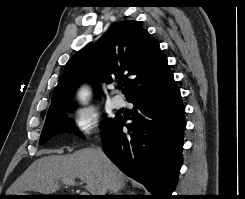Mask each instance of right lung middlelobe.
I'll return each mask as SVG.
<instances>
[{
    "label": "right lung middle lobe",
    "instance_id": "right-lung-middle-lobe-1",
    "mask_svg": "<svg viewBox=\"0 0 245 199\" xmlns=\"http://www.w3.org/2000/svg\"><path fill=\"white\" fill-rule=\"evenodd\" d=\"M67 107L68 106H65L58 112L46 117L45 125L39 141L40 145L47 142L53 136L63 132H71L82 137L80 132L74 126V123L67 118L65 111L70 110V108L67 109ZM112 120L113 119H106L101 125V130H104Z\"/></svg>",
    "mask_w": 245,
    "mask_h": 199
}]
</instances>
